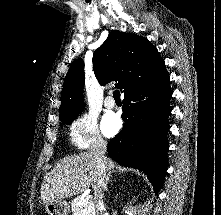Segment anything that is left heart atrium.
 Instances as JSON below:
<instances>
[{
  "label": "left heart atrium",
  "instance_id": "left-heart-atrium-1",
  "mask_svg": "<svg viewBox=\"0 0 221 215\" xmlns=\"http://www.w3.org/2000/svg\"><path fill=\"white\" fill-rule=\"evenodd\" d=\"M121 127V120L114 114H108L102 121V129L105 134L113 135Z\"/></svg>",
  "mask_w": 221,
  "mask_h": 215
}]
</instances>
